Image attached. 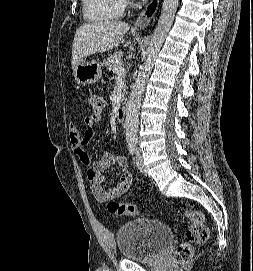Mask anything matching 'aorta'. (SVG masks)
Segmentation results:
<instances>
[{"label":"aorta","mask_w":253,"mask_h":271,"mask_svg":"<svg viewBox=\"0 0 253 271\" xmlns=\"http://www.w3.org/2000/svg\"><path fill=\"white\" fill-rule=\"evenodd\" d=\"M179 0H164L161 15L146 51L145 60L133 85L127 105L125 136L127 141H136L139 128V108L146 81L153 69L154 61L173 24Z\"/></svg>","instance_id":"1"}]
</instances>
